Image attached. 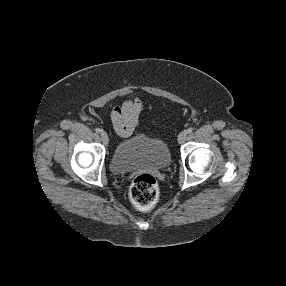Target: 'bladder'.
<instances>
[{
  "label": "bladder",
  "mask_w": 286,
  "mask_h": 286,
  "mask_svg": "<svg viewBox=\"0 0 286 286\" xmlns=\"http://www.w3.org/2000/svg\"><path fill=\"white\" fill-rule=\"evenodd\" d=\"M172 163V156L166 142L146 132H139L120 141L111 157V170L116 174L127 173L149 167L164 170Z\"/></svg>",
  "instance_id": "bladder-1"
}]
</instances>
